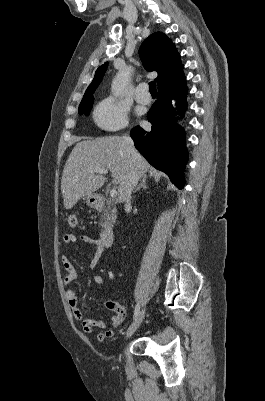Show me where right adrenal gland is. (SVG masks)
Returning a JSON list of instances; mask_svg holds the SVG:
<instances>
[{
    "label": "right adrenal gland",
    "instance_id": "obj_1",
    "mask_svg": "<svg viewBox=\"0 0 265 401\" xmlns=\"http://www.w3.org/2000/svg\"><path fill=\"white\" fill-rule=\"evenodd\" d=\"M146 180H147V176H143V178H141V180H140V184H137V188H135V190H133V192H137V190H140V188H148V186L146 184Z\"/></svg>",
    "mask_w": 265,
    "mask_h": 401
}]
</instances>
